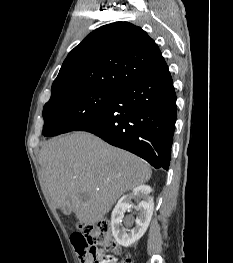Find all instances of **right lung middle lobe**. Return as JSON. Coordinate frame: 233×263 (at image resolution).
I'll return each mask as SVG.
<instances>
[{
  "mask_svg": "<svg viewBox=\"0 0 233 263\" xmlns=\"http://www.w3.org/2000/svg\"><path fill=\"white\" fill-rule=\"evenodd\" d=\"M116 92L89 88L52 96L43 109V135L55 136L75 130L101 114Z\"/></svg>",
  "mask_w": 233,
  "mask_h": 263,
  "instance_id": "right-lung-middle-lobe-1",
  "label": "right lung middle lobe"
}]
</instances>
